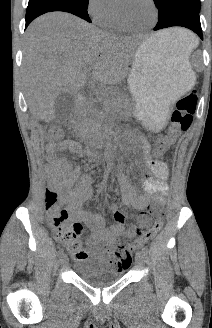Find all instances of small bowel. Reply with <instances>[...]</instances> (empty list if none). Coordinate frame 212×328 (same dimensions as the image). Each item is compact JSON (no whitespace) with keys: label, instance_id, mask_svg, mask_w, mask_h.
<instances>
[{"label":"small bowel","instance_id":"c3829d8e","mask_svg":"<svg viewBox=\"0 0 212 328\" xmlns=\"http://www.w3.org/2000/svg\"><path fill=\"white\" fill-rule=\"evenodd\" d=\"M69 150L74 154L81 153V147L77 142L64 141L59 144H48L46 146V170L51 178L53 185L61 192L62 200L67 205L66 212L69 221L74 224H85L90 230L91 235L87 239V247L98 267L120 270L121 268L114 262L109 263L107 255L112 251L117 238L125 232L126 217L115 204L101 203L102 208H107L115 223L109 228L106 227L104 218L96 213L85 210L83 206L90 200L92 195V174L81 175L80 168L74 167L72 162L61 153ZM145 161L155 179H145L142 182L143 190L152 195L156 203L163 204L168 192L167 165L159 160L152 159L149 149L144 145ZM117 182L122 193V206L143 209L148 203V199L141 196L129 183L123 173L117 174ZM141 225H147L148 220L145 216L139 217ZM88 253L78 259L87 258Z\"/></svg>","mask_w":212,"mask_h":328}]
</instances>
